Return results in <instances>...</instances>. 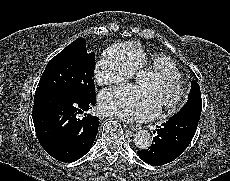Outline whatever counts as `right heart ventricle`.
<instances>
[{"mask_svg":"<svg viewBox=\"0 0 230 181\" xmlns=\"http://www.w3.org/2000/svg\"><path fill=\"white\" fill-rule=\"evenodd\" d=\"M130 46V47H129ZM114 52L118 54V57H120L123 61H126L124 64L127 65V63L130 66H135L138 70H141L142 65L147 62V58L145 56V53L143 51L142 46L138 44L130 45H123L121 48L117 47V49H114ZM117 56V55H116ZM153 59V68H157V66L161 63L170 64V59L165 57H154ZM169 60V61H168ZM128 66V65H127Z\"/></svg>","mask_w":230,"mask_h":181,"instance_id":"right-heart-ventricle-1","label":"right heart ventricle"}]
</instances>
